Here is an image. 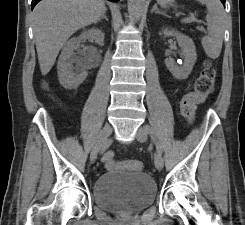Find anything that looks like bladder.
<instances>
[{"instance_id": "obj_1", "label": "bladder", "mask_w": 245, "mask_h": 225, "mask_svg": "<svg viewBox=\"0 0 245 225\" xmlns=\"http://www.w3.org/2000/svg\"><path fill=\"white\" fill-rule=\"evenodd\" d=\"M157 187L145 172L124 170L104 172L93 183L94 204L118 215L139 213L156 200Z\"/></svg>"}]
</instances>
